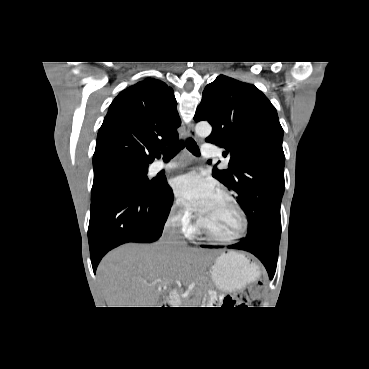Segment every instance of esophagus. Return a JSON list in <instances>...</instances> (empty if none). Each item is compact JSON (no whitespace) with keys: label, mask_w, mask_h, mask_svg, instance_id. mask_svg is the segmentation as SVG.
<instances>
[{"label":"esophagus","mask_w":369,"mask_h":369,"mask_svg":"<svg viewBox=\"0 0 369 369\" xmlns=\"http://www.w3.org/2000/svg\"><path fill=\"white\" fill-rule=\"evenodd\" d=\"M187 135L189 137H192V138H196V132H195V128H194V123L191 122L188 124V127H187Z\"/></svg>","instance_id":"1"}]
</instances>
